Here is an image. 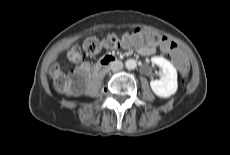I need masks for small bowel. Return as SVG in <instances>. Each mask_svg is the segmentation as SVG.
<instances>
[{
    "mask_svg": "<svg viewBox=\"0 0 230 155\" xmlns=\"http://www.w3.org/2000/svg\"><path fill=\"white\" fill-rule=\"evenodd\" d=\"M154 47L153 46H150V47H139L138 48V51L143 54V55H149V54H152L154 52ZM163 50V49H162ZM165 51V50H163ZM185 60V59H184ZM186 67H187V64H186Z\"/></svg>",
    "mask_w": 230,
    "mask_h": 155,
    "instance_id": "obj_1",
    "label": "small bowel"
}]
</instances>
